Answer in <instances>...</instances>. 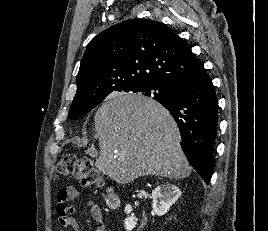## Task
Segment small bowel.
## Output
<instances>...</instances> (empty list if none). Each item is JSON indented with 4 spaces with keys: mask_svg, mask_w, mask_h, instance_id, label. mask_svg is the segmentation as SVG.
I'll use <instances>...</instances> for the list:
<instances>
[{
    "mask_svg": "<svg viewBox=\"0 0 268 231\" xmlns=\"http://www.w3.org/2000/svg\"><path fill=\"white\" fill-rule=\"evenodd\" d=\"M82 197L81 193L71 186L64 187L59 191L56 199V215L58 223L62 228L72 229L73 231L80 230L73 216L75 209L69 203ZM85 200L89 207L90 216L95 222V231H105V224L99 205L92 199L85 198Z\"/></svg>",
    "mask_w": 268,
    "mask_h": 231,
    "instance_id": "obj_1",
    "label": "small bowel"
}]
</instances>
